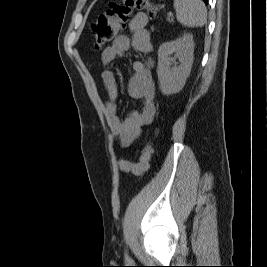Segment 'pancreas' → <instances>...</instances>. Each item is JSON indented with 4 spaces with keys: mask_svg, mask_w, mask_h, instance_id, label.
Returning <instances> with one entry per match:
<instances>
[{
    "mask_svg": "<svg viewBox=\"0 0 267 267\" xmlns=\"http://www.w3.org/2000/svg\"><path fill=\"white\" fill-rule=\"evenodd\" d=\"M169 22H172L173 20H170L169 18L167 19Z\"/></svg>",
    "mask_w": 267,
    "mask_h": 267,
    "instance_id": "cf45deb5",
    "label": "pancreas"
}]
</instances>
